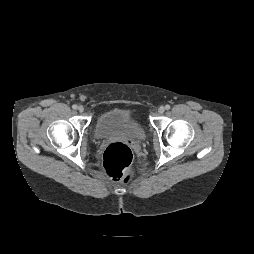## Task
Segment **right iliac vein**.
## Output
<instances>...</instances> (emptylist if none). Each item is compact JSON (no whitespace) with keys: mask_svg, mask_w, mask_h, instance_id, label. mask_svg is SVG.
I'll return each instance as SVG.
<instances>
[{"mask_svg":"<svg viewBox=\"0 0 254 254\" xmlns=\"http://www.w3.org/2000/svg\"><path fill=\"white\" fill-rule=\"evenodd\" d=\"M78 111L81 112V113L84 112V107L80 105V106L78 107Z\"/></svg>","mask_w":254,"mask_h":254,"instance_id":"63e3f726","label":"right iliac vein"}]
</instances>
